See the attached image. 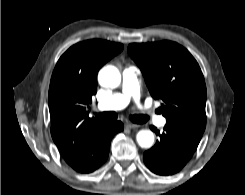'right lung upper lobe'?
Returning a JSON list of instances; mask_svg holds the SVG:
<instances>
[{"label": "right lung upper lobe", "instance_id": "obj_1", "mask_svg": "<svg viewBox=\"0 0 245 195\" xmlns=\"http://www.w3.org/2000/svg\"><path fill=\"white\" fill-rule=\"evenodd\" d=\"M122 50L120 43L87 40L71 46L55 66L48 94L51 135L74 169L90 161L96 131L105 122L89 118L86 111L97 92V73Z\"/></svg>", "mask_w": 245, "mask_h": 195}]
</instances>
